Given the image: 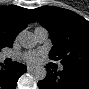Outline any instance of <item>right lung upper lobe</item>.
Instances as JSON below:
<instances>
[{
    "instance_id": "1",
    "label": "right lung upper lobe",
    "mask_w": 89,
    "mask_h": 89,
    "mask_svg": "<svg viewBox=\"0 0 89 89\" xmlns=\"http://www.w3.org/2000/svg\"><path fill=\"white\" fill-rule=\"evenodd\" d=\"M31 10L15 5L0 7L1 47H12L16 36L35 21Z\"/></svg>"
}]
</instances>
